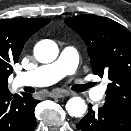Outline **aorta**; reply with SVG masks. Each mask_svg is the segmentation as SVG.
I'll return each mask as SVG.
<instances>
[{
    "label": "aorta",
    "instance_id": "762f6f07",
    "mask_svg": "<svg viewBox=\"0 0 131 131\" xmlns=\"http://www.w3.org/2000/svg\"><path fill=\"white\" fill-rule=\"evenodd\" d=\"M58 52L57 44L48 39L39 41L34 48V56L41 63L53 62L57 58ZM65 107L72 117H81L87 109L85 101L80 97H72Z\"/></svg>",
    "mask_w": 131,
    "mask_h": 131
}]
</instances>
